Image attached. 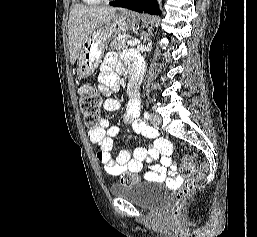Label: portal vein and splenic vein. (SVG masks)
I'll return each instance as SVG.
<instances>
[{"label":"portal vein and splenic vein","mask_w":257,"mask_h":237,"mask_svg":"<svg viewBox=\"0 0 257 237\" xmlns=\"http://www.w3.org/2000/svg\"><path fill=\"white\" fill-rule=\"evenodd\" d=\"M127 44H129L130 46H135L137 44V42L129 40V41H127Z\"/></svg>","instance_id":"obj_1"}]
</instances>
